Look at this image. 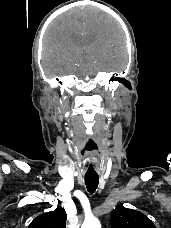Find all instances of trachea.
<instances>
[{"label":"trachea","instance_id":"3493384b","mask_svg":"<svg viewBox=\"0 0 171 228\" xmlns=\"http://www.w3.org/2000/svg\"><path fill=\"white\" fill-rule=\"evenodd\" d=\"M85 184H86V188L88 190V192L90 194H93L99 184V177L98 175L96 176H91V175H85Z\"/></svg>","mask_w":171,"mask_h":228}]
</instances>
